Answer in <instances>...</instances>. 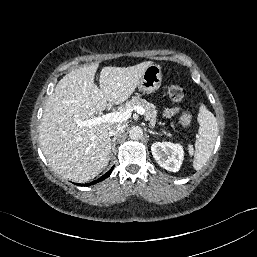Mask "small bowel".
Here are the masks:
<instances>
[{"mask_svg":"<svg viewBox=\"0 0 257 257\" xmlns=\"http://www.w3.org/2000/svg\"><path fill=\"white\" fill-rule=\"evenodd\" d=\"M178 111H179L178 108L169 109V110H167V114H169V115H174V114H176Z\"/></svg>","mask_w":257,"mask_h":257,"instance_id":"1","label":"small bowel"}]
</instances>
